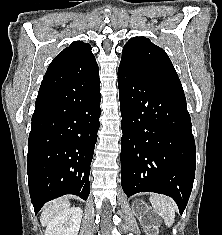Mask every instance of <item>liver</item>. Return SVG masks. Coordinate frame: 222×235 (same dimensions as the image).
<instances>
[{"instance_id":"1","label":"liver","mask_w":222,"mask_h":235,"mask_svg":"<svg viewBox=\"0 0 222 235\" xmlns=\"http://www.w3.org/2000/svg\"><path fill=\"white\" fill-rule=\"evenodd\" d=\"M70 208V202L67 198H59L46 204L41 213L40 222L46 226L57 215L67 211Z\"/></svg>"}]
</instances>
